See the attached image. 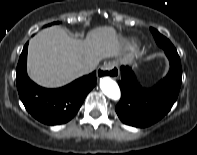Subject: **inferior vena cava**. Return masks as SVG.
I'll use <instances>...</instances> for the list:
<instances>
[{
	"label": "inferior vena cava",
	"mask_w": 197,
	"mask_h": 155,
	"mask_svg": "<svg viewBox=\"0 0 197 155\" xmlns=\"http://www.w3.org/2000/svg\"><path fill=\"white\" fill-rule=\"evenodd\" d=\"M96 67H97V65H94V64L84 65L82 67V73L83 74L91 73L92 71H94L96 69Z\"/></svg>",
	"instance_id": "inferior-vena-cava-1"
}]
</instances>
